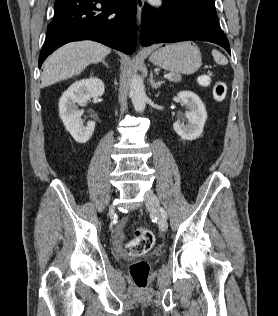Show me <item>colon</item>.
<instances>
[{"label":"colon","mask_w":278,"mask_h":316,"mask_svg":"<svg viewBox=\"0 0 278 316\" xmlns=\"http://www.w3.org/2000/svg\"><path fill=\"white\" fill-rule=\"evenodd\" d=\"M202 85H211L212 95L216 101H222L227 94V86L223 81L211 83L210 78L202 76L200 78ZM155 237L149 229L137 230L134 238L130 240L125 247V252L129 256L138 257L147 253L153 246ZM149 264L146 261H137L130 266V275L134 285L143 289L147 286L149 277Z\"/></svg>","instance_id":"colon-1"}]
</instances>
